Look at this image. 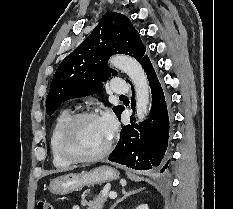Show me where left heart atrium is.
<instances>
[{
	"mask_svg": "<svg viewBox=\"0 0 233 209\" xmlns=\"http://www.w3.org/2000/svg\"><path fill=\"white\" fill-rule=\"evenodd\" d=\"M100 121L107 135L110 137L113 134L116 126L114 118L109 113H105L100 117Z\"/></svg>",
	"mask_w": 233,
	"mask_h": 209,
	"instance_id": "obj_1",
	"label": "left heart atrium"
}]
</instances>
